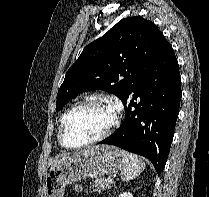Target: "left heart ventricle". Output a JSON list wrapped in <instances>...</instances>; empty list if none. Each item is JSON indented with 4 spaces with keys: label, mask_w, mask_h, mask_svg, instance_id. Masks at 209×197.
<instances>
[{
    "label": "left heart ventricle",
    "mask_w": 209,
    "mask_h": 197,
    "mask_svg": "<svg viewBox=\"0 0 209 197\" xmlns=\"http://www.w3.org/2000/svg\"><path fill=\"white\" fill-rule=\"evenodd\" d=\"M113 112L102 103L86 104L73 112L66 121L64 137L68 144L77 145L101 134L111 123Z\"/></svg>",
    "instance_id": "obj_1"
}]
</instances>
